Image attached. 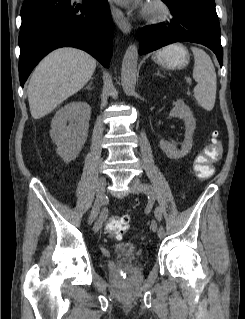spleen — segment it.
Returning a JSON list of instances; mask_svg holds the SVG:
<instances>
[{"label": "spleen", "mask_w": 245, "mask_h": 319, "mask_svg": "<svg viewBox=\"0 0 245 319\" xmlns=\"http://www.w3.org/2000/svg\"><path fill=\"white\" fill-rule=\"evenodd\" d=\"M194 54L193 78L197 82L194 97L205 110L211 111L215 104L217 77L209 55L198 47H191Z\"/></svg>", "instance_id": "3e777b00"}]
</instances>
